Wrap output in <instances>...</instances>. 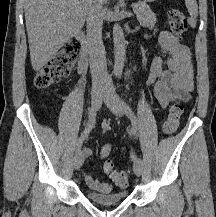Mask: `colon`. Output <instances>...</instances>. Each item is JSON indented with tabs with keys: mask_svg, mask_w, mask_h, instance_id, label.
Segmentation results:
<instances>
[{
	"mask_svg": "<svg viewBox=\"0 0 216 217\" xmlns=\"http://www.w3.org/2000/svg\"><path fill=\"white\" fill-rule=\"evenodd\" d=\"M168 23L172 33L177 38H183L187 30V21L183 12L179 9H171L168 12ZM80 49L81 46L78 41L72 40L68 42L37 73L34 79L35 86L38 89L44 90L58 81L67 78L74 68ZM182 112L183 107L180 102L176 101L171 105L168 116L162 126L164 135H171L177 129ZM111 127L112 123L109 119L104 120L101 124V129L104 133H108ZM104 169L109 173L117 186L123 187L127 185V172L125 170L114 169V164L111 160H107L104 163Z\"/></svg>",
	"mask_w": 216,
	"mask_h": 217,
	"instance_id": "1",
	"label": "colon"
}]
</instances>
